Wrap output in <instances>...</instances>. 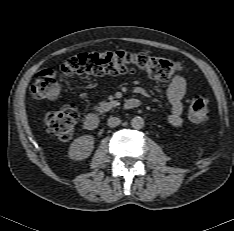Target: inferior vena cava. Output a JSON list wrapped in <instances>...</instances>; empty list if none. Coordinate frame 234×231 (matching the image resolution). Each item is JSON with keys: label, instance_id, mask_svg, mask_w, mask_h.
Wrapping results in <instances>:
<instances>
[{"label": "inferior vena cava", "instance_id": "obj_1", "mask_svg": "<svg viewBox=\"0 0 234 231\" xmlns=\"http://www.w3.org/2000/svg\"><path fill=\"white\" fill-rule=\"evenodd\" d=\"M121 123V120L119 119V118H117V117H110L109 119H108V126H110V127H116V126H118L119 124Z\"/></svg>", "mask_w": 234, "mask_h": 231}]
</instances>
